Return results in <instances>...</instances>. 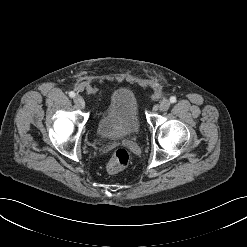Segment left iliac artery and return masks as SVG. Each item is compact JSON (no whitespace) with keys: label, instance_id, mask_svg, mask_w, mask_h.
Returning a JSON list of instances; mask_svg holds the SVG:
<instances>
[{"label":"left iliac artery","instance_id":"1","mask_svg":"<svg viewBox=\"0 0 247 247\" xmlns=\"http://www.w3.org/2000/svg\"><path fill=\"white\" fill-rule=\"evenodd\" d=\"M170 102L171 103H175L176 102V97L175 96L170 97Z\"/></svg>","mask_w":247,"mask_h":247}]
</instances>
